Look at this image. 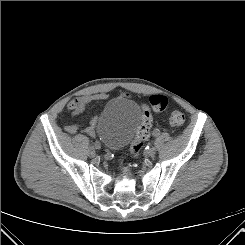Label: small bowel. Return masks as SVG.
<instances>
[{
    "mask_svg": "<svg viewBox=\"0 0 245 245\" xmlns=\"http://www.w3.org/2000/svg\"><path fill=\"white\" fill-rule=\"evenodd\" d=\"M109 98L110 96L107 93H103V92L86 96L79 101V106L73 110L72 114L75 115L80 109L84 108L87 104L93 101L108 100ZM96 122L97 120L95 118H92L90 120L89 126L86 128L87 134L91 136L95 135ZM65 129L70 134H76L79 130V126L76 123H70L65 127Z\"/></svg>",
    "mask_w": 245,
    "mask_h": 245,
    "instance_id": "c3829d8e",
    "label": "small bowel"
}]
</instances>
